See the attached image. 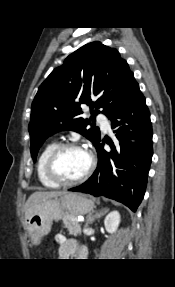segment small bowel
I'll list each match as a JSON object with an SVG mask.
<instances>
[{"mask_svg": "<svg viewBox=\"0 0 175 287\" xmlns=\"http://www.w3.org/2000/svg\"><path fill=\"white\" fill-rule=\"evenodd\" d=\"M54 241L58 245V256L61 259H69L73 256L84 258L86 256V250L80 247L74 239H67L63 234H57Z\"/></svg>", "mask_w": 175, "mask_h": 287, "instance_id": "obj_1", "label": "small bowel"}]
</instances>
